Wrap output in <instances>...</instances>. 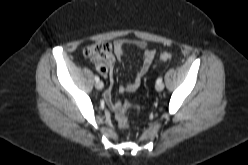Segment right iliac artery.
<instances>
[{"label":"right iliac artery","mask_w":248,"mask_h":165,"mask_svg":"<svg viewBox=\"0 0 248 165\" xmlns=\"http://www.w3.org/2000/svg\"><path fill=\"white\" fill-rule=\"evenodd\" d=\"M99 80H100L99 77L98 76H95V81L97 82Z\"/></svg>","instance_id":"right-iliac-artery-1"}]
</instances>
